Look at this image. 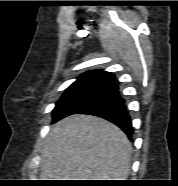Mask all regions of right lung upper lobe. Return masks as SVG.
<instances>
[{"mask_svg": "<svg viewBox=\"0 0 178 186\" xmlns=\"http://www.w3.org/2000/svg\"><path fill=\"white\" fill-rule=\"evenodd\" d=\"M115 81V76L109 72L103 70L90 71L78 77L77 80L69 86V88L84 85H109L112 87L116 84Z\"/></svg>", "mask_w": 178, "mask_h": 186, "instance_id": "1", "label": "right lung upper lobe"}]
</instances>
